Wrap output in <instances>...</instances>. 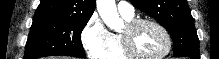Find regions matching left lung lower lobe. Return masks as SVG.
I'll use <instances>...</instances> for the list:
<instances>
[{
  "label": "left lung lower lobe",
  "mask_w": 219,
  "mask_h": 59,
  "mask_svg": "<svg viewBox=\"0 0 219 59\" xmlns=\"http://www.w3.org/2000/svg\"><path fill=\"white\" fill-rule=\"evenodd\" d=\"M191 58H193V59H200V56L199 57H191Z\"/></svg>",
  "instance_id": "obj_1"
}]
</instances>
